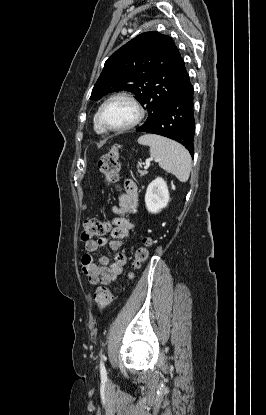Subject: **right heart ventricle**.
<instances>
[{
	"label": "right heart ventricle",
	"mask_w": 266,
	"mask_h": 415,
	"mask_svg": "<svg viewBox=\"0 0 266 415\" xmlns=\"http://www.w3.org/2000/svg\"><path fill=\"white\" fill-rule=\"evenodd\" d=\"M94 130L98 133V134H102L105 132V130L101 127V125L99 124L98 121V112L95 114L94 116Z\"/></svg>",
	"instance_id": "obj_1"
}]
</instances>
